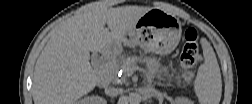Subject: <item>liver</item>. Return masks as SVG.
Masks as SVG:
<instances>
[{
	"label": "liver",
	"mask_w": 252,
	"mask_h": 104,
	"mask_svg": "<svg viewBox=\"0 0 252 104\" xmlns=\"http://www.w3.org/2000/svg\"><path fill=\"white\" fill-rule=\"evenodd\" d=\"M151 9L142 6L107 8L95 2L63 22L35 64L34 102L71 104L91 92L99 83V76L90 64V52L124 44L125 35Z\"/></svg>",
	"instance_id": "liver-1"
}]
</instances>
